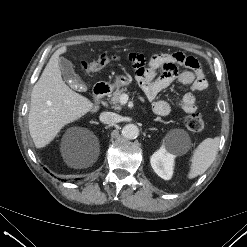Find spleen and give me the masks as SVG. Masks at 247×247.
Returning a JSON list of instances; mask_svg holds the SVG:
<instances>
[{"label": "spleen", "mask_w": 247, "mask_h": 247, "mask_svg": "<svg viewBox=\"0 0 247 247\" xmlns=\"http://www.w3.org/2000/svg\"><path fill=\"white\" fill-rule=\"evenodd\" d=\"M219 141V137L206 138L194 150L188 174L189 179L202 175L211 166L216 158Z\"/></svg>", "instance_id": "obj_1"}]
</instances>
